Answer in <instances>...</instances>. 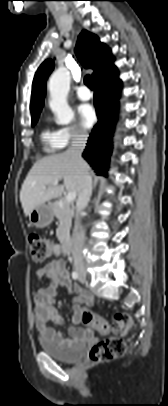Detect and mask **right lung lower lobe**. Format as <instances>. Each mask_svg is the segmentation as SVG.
<instances>
[{
    "label": "right lung lower lobe",
    "mask_w": 168,
    "mask_h": 406,
    "mask_svg": "<svg viewBox=\"0 0 168 406\" xmlns=\"http://www.w3.org/2000/svg\"><path fill=\"white\" fill-rule=\"evenodd\" d=\"M94 83L96 86L94 105L98 122L90 134L82 156L95 167L96 172L106 175L112 152V134L117 118L121 81L118 79V71L114 69Z\"/></svg>",
    "instance_id": "1"
}]
</instances>
